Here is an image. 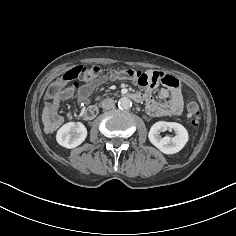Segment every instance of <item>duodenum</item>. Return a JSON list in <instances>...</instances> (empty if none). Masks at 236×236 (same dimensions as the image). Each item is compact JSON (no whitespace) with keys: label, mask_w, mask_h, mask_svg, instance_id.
<instances>
[{"label":"duodenum","mask_w":236,"mask_h":236,"mask_svg":"<svg viewBox=\"0 0 236 236\" xmlns=\"http://www.w3.org/2000/svg\"><path fill=\"white\" fill-rule=\"evenodd\" d=\"M132 100H134L135 102H140L141 98L135 94L131 95ZM98 112V107L94 104V105H90L89 107H87L84 111H83V117L87 120H90L92 118H94L96 116Z\"/></svg>","instance_id":"duodenum-1"}]
</instances>
